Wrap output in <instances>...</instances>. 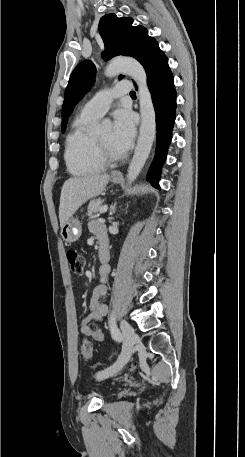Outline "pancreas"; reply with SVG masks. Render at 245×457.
I'll return each instance as SVG.
<instances>
[{
  "instance_id": "1",
  "label": "pancreas",
  "mask_w": 245,
  "mask_h": 457,
  "mask_svg": "<svg viewBox=\"0 0 245 457\" xmlns=\"http://www.w3.org/2000/svg\"><path fill=\"white\" fill-rule=\"evenodd\" d=\"M103 200L104 198H95V200H90L88 210L86 212L87 216H94V214H97Z\"/></svg>"
}]
</instances>
